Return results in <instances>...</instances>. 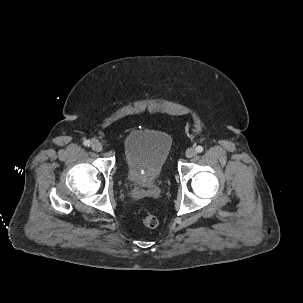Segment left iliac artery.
<instances>
[{"instance_id": "44dca946", "label": "left iliac artery", "mask_w": 303, "mask_h": 303, "mask_svg": "<svg viewBox=\"0 0 303 303\" xmlns=\"http://www.w3.org/2000/svg\"><path fill=\"white\" fill-rule=\"evenodd\" d=\"M203 147L202 146H197L196 147V152L201 153L203 151Z\"/></svg>"}]
</instances>
